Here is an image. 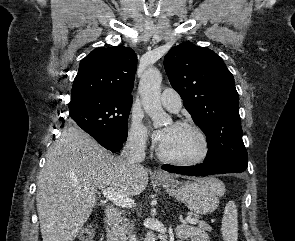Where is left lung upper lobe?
<instances>
[{"label":"left lung upper lobe","mask_w":295,"mask_h":241,"mask_svg":"<svg viewBox=\"0 0 295 241\" xmlns=\"http://www.w3.org/2000/svg\"><path fill=\"white\" fill-rule=\"evenodd\" d=\"M164 67L185 108L206 134L208 152L204 162L247 166L239 96L222 58L209 48L186 42L166 54Z\"/></svg>","instance_id":"1"}]
</instances>
